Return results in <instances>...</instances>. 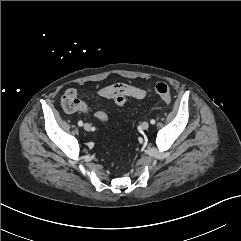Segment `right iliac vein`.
Returning a JSON list of instances; mask_svg holds the SVG:
<instances>
[{
	"mask_svg": "<svg viewBox=\"0 0 241 241\" xmlns=\"http://www.w3.org/2000/svg\"><path fill=\"white\" fill-rule=\"evenodd\" d=\"M83 127H84V129L86 131H90L91 130V125L89 123H85Z\"/></svg>",
	"mask_w": 241,
	"mask_h": 241,
	"instance_id": "63e3f726",
	"label": "right iliac vein"
}]
</instances>
